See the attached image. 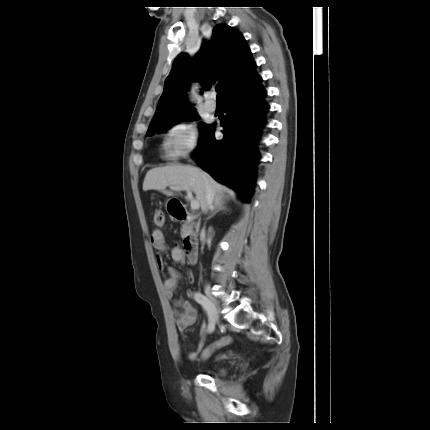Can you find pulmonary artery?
<instances>
[{
	"label": "pulmonary artery",
	"instance_id": "e3ab8cb5",
	"mask_svg": "<svg viewBox=\"0 0 430 430\" xmlns=\"http://www.w3.org/2000/svg\"><path fill=\"white\" fill-rule=\"evenodd\" d=\"M205 108L209 112H214L216 110V103L213 100L208 98L205 101Z\"/></svg>",
	"mask_w": 430,
	"mask_h": 430
}]
</instances>
